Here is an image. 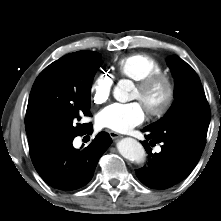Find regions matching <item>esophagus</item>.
Wrapping results in <instances>:
<instances>
[{
	"instance_id": "esophagus-1",
	"label": "esophagus",
	"mask_w": 221,
	"mask_h": 221,
	"mask_svg": "<svg viewBox=\"0 0 221 221\" xmlns=\"http://www.w3.org/2000/svg\"><path fill=\"white\" fill-rule=\"evenodd\" d=\"M108 133H109V135H110V137H111L112 139H117V138L120 137V134L117 133V132H114V131H108Z\"/></svg>"
}]
</instances>
